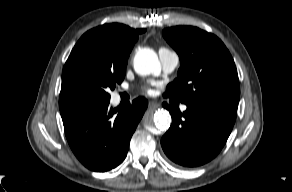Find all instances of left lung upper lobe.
<instances>
[{"mask_svg": "<svg viewBox=\"0 0 292 192\" xmlns=\"http://www.w3.org/2000/svg\"><path fill=\"white\" fill-rule=\"evenodd\" d=\"M163 37L180 57L178 78L164 96L187 106H215L237 111L240 87L235 63L223 42L197 27L164 29Z\"/></svg>", "mask_w": 292, "mask_h": 192, "instance_id": "1", "label": "left lung upper lobe"}]
</instances>
